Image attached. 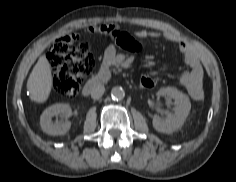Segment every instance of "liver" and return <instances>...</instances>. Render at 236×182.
Segmentation results:
<instances>
[{
    "mask_svg": "<svg viewBox=\"0 0 236 182\" xmlns=\"http://www.w3.org/2000/svg\"><path fill=\"white\" fill-rule=\"evenodd\" d=\"M53 85L51 66L45 55L39 57L27 81L29 97L42 104L47 101Z\"/></svg>",
    "mask_w": 236,
    "mask_h": 182,
    "instance_id": "liver-1",
    "label": "liver"
}]
</instances>
